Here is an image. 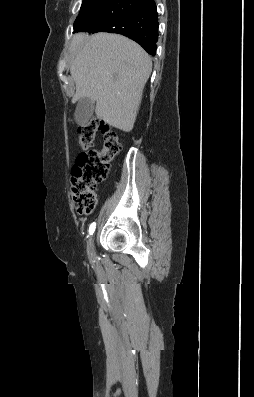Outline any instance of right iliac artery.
Listing matches in <instances>:
<instances>
[{
  "label": "right iliac artery",
  "instance_id": "82829eb1",
  "mask_svg": "<svg viewBox=\"0 0 254 397\" xmlns=\"http://www.w3.org/2000/svg\"><path fill=\"white\" fill-rule=\"evenodd\" d=\"M96 223L93 222L90 227H89V235H92L93 232L95 231Z\"/></svg>",
  "mask_w": 254,
  "mask_h": 397
}]
</instances>
